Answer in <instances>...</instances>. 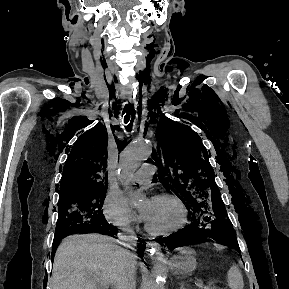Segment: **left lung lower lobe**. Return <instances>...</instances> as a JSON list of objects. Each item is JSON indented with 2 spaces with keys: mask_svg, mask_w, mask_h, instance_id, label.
<instances>
[{
  "mask_svg": "<svg viewBox=\"0 0 289 289\" xmlns=\"http://www.w3.org/2000/svg\"><path fill=\"white\" fill-rule=\"evenodd\" d=\"M217 214L219 216H226L227 218V213L224 206H221L220 209L217 210ZM216 234L217 229L215 223H206L204 218L191 219L188 226L183 228L181 231L166 237L164 241L170 246V248H176L193 244L195 239L200 236L210 237L218 242V237ZM230 238L233 244L237 246V238L235 235H232ZM235 249L240 253L239 247H235Z\"/></svg>",
  "mask_w": 289,
  "mask_h": 289,
  "instance_id": "0a47b994",
  "label": "left lung lower lobe"
}]
</instances>
